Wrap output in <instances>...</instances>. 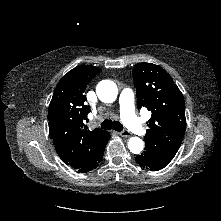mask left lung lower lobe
<instances>
[{"mask_svg":"<svg viewBox=\"0 0 221 221\" xmlns=\"http://www.w3.org/2000/svg\"><path fill=\"white\" fill-rule=\"evenodd\" d=\"M135 160L141 167L147 168L151 171H158L160 169H163L169 163L154 156L148 151H144L140 155H137L135 157Z\"/></svg>","mask_w":221,"mask_h":221,"instance_id":"1","label":"left lung lower lobe"}]
</instances>
